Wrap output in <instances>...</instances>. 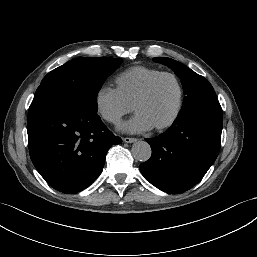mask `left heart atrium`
I'll return each instance as SVG.
<instances>
[{"label":"left heart atrium","mask_w":257,"mask_h":257,"mask_svg":"<svg viewBox=\"0 0 257 257\" xmlns=\"http://www.w3.org/2000/svg\"><path fill=\"white\" fill-rule=\"evenodd\" d=\"M154 127L151 121H149L142 113L136 112V114L128 121L124 122L119 128L124 132L138 133L150 130Z\"/></svg>","instance_id":"left-heart-atrium-1"}]
</instances>
